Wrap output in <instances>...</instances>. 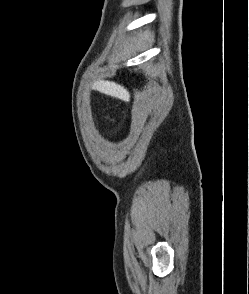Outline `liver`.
<instances>
[{
  "label": "liver",
  "instance_id": "obj_1",
  "mask_svg": "<svg viewBox=\"0 0 249 294\" xmlns=\"http://www.w3.org/2000/svg\"><path fill=\"white\" fill-rule=\"evenodd\" d=\"M95 87L102 93L122 99L128 100L130 98V94L126 88L123 86L116 84L114 82L109 81H98L95 83Z\"/></svg>",
  "mask_w": 249,
  "mask_h": 294
}]
</instances>
